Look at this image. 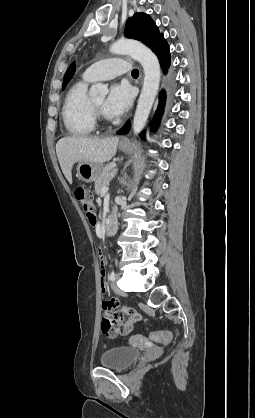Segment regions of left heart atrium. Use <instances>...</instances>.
<instances>
[{
	"instance_id": "left-heart-atrium-1",
	"label": "left heart atrium",
	"mask_w": 255,
	"mask_h": 418,
	"mask_svg": "<svg viewBox=\"0 0 255 418\" xmlns=\"http://www.w3.org/2000/svg\"><path fill=\"white\" fill-rule=\"evenodd\" d=\"M132 91L125 83L111 86L108 96L102 105L103 112L110 118H116L128 110L132 103Z\"/></svg>"
}]
</instances>
